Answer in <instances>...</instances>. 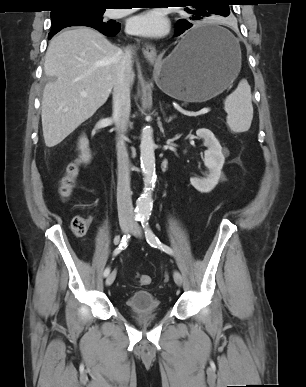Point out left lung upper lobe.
Returning a JSON list of instances; mask_svg holds the SVG:
<instances>
[{"label":"left lung upper lobe","instance_id":"5c2ea615","mask_svg":"<svg viewBox=\"0 0 306 387\" xmlns=\"http://www.w3.org/2000/svg\"><path fill=\"white\" fill-rule=\"evenodd\" d=\"M184 4L190 5L191 8H185L186 20L194 23L196 20H205L206 17L220 15H229V5L227 0H184ZM186 7V6H185Z\"/></svg>","mask_w":306,"mask_h":387}]
</instances>
